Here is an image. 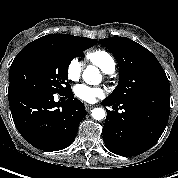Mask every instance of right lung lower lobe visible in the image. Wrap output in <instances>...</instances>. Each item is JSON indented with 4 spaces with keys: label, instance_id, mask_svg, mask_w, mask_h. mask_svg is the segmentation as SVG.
<instances>
[{
    "label": "right lung lower lobe",
    "instance_id": "right-lung-lower-lobe-1",
    "mask_svg": "<svg viewBox=\"0 0 178 178\" xmlns=\"http://www.w3.org/2000/svg\"><path fill=\"white\" fill-rule=\"evenodd\" d=\"M68 99L55 102L53 93L17 91L8 93L14 124L32 146L58 151L74 140L79 123L86 116L84 104L69 89L59 93Z\"/></svg>",
    "mask_w": 178,
    "mask_h": 178
}]
</instances>
